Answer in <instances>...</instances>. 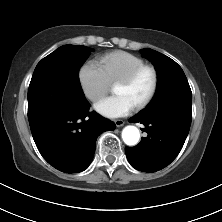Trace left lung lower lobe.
I'll use <instances>...</instances> for the list:
<instances>
[{"label":"left lung lower lobe","mask_w":222,"mask_h":222,"mask_svg":"<svg viewBox=\"0 0 222 222\" xmlns=\"http://www.w3.org/2000/svg\"><path fill=\"white\" fill-rule=\"evenodd\" d=\"M192 119L191 104L167 101L143 110L130 122L145 125L148 136L135 147H126L129 163L144 172H156L168 166L179 154Z\"/></svg>","instance_id":"left-lung-lower-lobe-1"}]
</instances>
